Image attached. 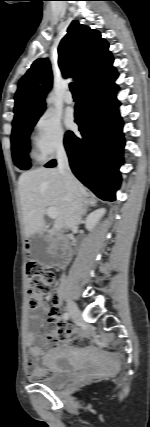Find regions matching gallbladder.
<instances>
[{
	"label": "gallbladder",
	"instance_id": "obj_1",
	"mask_svg": "<svg viewBox=\"0 0 150 427\" xmlns=\"http://www.w3.org/2000/svg\"><path fill=\"white\" fill-rule=\"evenodd\" d=\"M50 242L42 234H36L30 239V257L41 265L49 266L54 263V256L48 250Z\"/></svg>",
	"mask_w": 150,
	"mask_h": 427
}]
</instances>
